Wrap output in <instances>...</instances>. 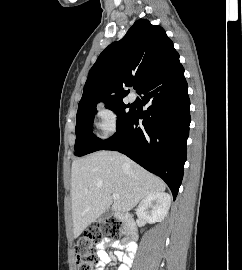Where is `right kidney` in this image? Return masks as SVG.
<instances>
[{
  "label": "right kidney",
  "mask_w": 242,
  "mask_h": 270,
  "mask_svg": "<svg viewBox=\"0 0 242 270\" xmlns=\"http://www.w3.org/2000/svg\"><path fill=\"white\" fill-rule=\"evenodd\" d=\"M170 205L171 198L167 193H151L140 202L136 214L148 223L161 222L167 215Z\"/></svg>",
  "instance_id": "ca27d5eb"
}]
</instances>
